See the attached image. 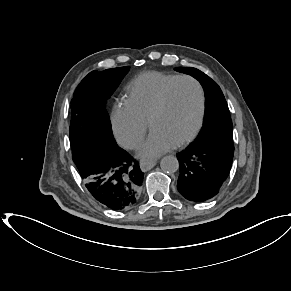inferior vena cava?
<instances>
[{
	"mask_svg": "<svg viewBox=\"0 0 291 291\" xmlns=\"http://www.w3.org/2000/svg\"><path fill=\"white\" fill-rule=\"evenodd\" d=\"M136 144H137L136 142L132 143L133 146H135Z\"/></svg>",
	"mask_w": 291,
	"mask_h": 291,
	"instance_id": "inferior-vena-cava-1",
	"label": "inferior vena cava"
}]
</instances>
